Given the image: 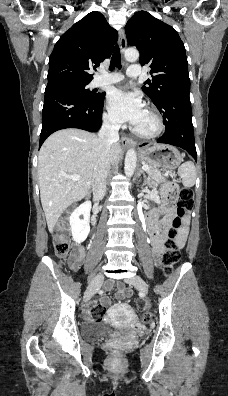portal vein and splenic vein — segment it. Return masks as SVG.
Wrapping results in <instances>:
<instances>
[{
  "mask_svg": "<svg viewBox=\"0 0 228 396\" xmlns=\"http://www.w3.org/2000/svg\"><path fill=\"white\" fill-rule=\"evenodd\" d=\"M148 168H149L148 165H143V166H142V169H143V170H148ZM65 177H66V178H69V179H71V180H73V181H78V180H80V178H81L79 175H65Z\"/></svg>",
  "mask_w": 228,
  "mask_h": 396,
  "instance_id": "portal-vein-and-splenic-vein-1",
  "label": "portal vein and splenic vein"
}]
</instances>
